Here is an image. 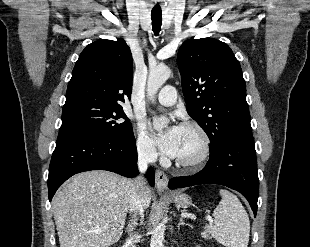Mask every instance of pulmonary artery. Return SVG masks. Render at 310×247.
I'll use <instances>...</instances> for the list:
<instances>
[{
	"instance_id": "obj_1",
	"label": "pulmonary artery",
	"mask_w": 310,
	"mask_h": 247,
	"mask_svg": "<svg viewBox=\"0 0 310 247\" xmlns=\"http://www.w3.org/2000/svg\"><path fill=\"white\" fill-rule=\"evenodd\" d=\"M158 102L164 106H172L176 103L177 93L173 86H165L161 89L158 97Z\"/></svg>"
}]
</instances>
